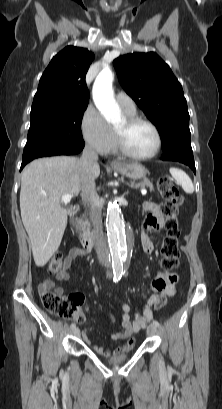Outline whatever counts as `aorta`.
I'll return each mask as SVG.
<instances>
[{"label":"aorta","mask_w":222,"mask_h":409,"mask_svg":"<svg viewBox=\"0 0 222 409\" xmlns=\"http://www.w3.org/2000/svg\"><path fill=\"white\" fill-rule=\"evenodd\" d=\"M113 74L107 67L96 77L93 85V101L108 123L120 121V110L115 102L112 89ZM107 241L111 261L115 269H121L131 254L132 232L124 222L119 206L110 202L106 217Z\"/></svg>","instance_id":"762f6f07"}]
</instances>
